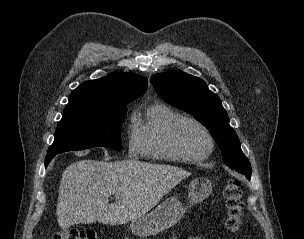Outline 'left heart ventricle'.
Masks as SVG:
<instances>
[{"label":"left heart ventricle","mask_w":304,"mask_h":239,"mask_svg":"<svg viewBox=\"0 0 304 239\" xmlns=\"http://www.w3.org/2000/svg\"><path fill=\"white\" fill-rule=\"evenodd\" d=\"M181 146L189 153L200 154L208 149L209 141L204 131L197 125L187 122L178 131Z\"/></svg>","instance_id":"1"}]
</instances>
